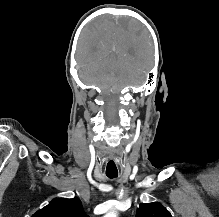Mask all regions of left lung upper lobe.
Wrapping results in <instances>:
<instances>
[{
  "instance_id": "1",
  "label": "left lung upper lobe",
  "mask_w": 219,
  "mask_h": 217,
  "mask_svg": "<svg viewBox=\"0 0 219 217\" xmlns=\"http://www.w3.org/2000/svg\"><path fill=\"white\" fill-rule=\"evenodd\" d=\"M136 217H172L170 212L160 203H141Z\"/></svg>"
}]
</instances>
